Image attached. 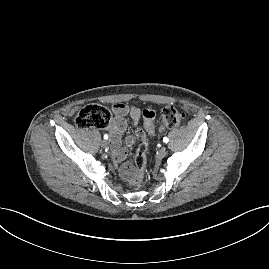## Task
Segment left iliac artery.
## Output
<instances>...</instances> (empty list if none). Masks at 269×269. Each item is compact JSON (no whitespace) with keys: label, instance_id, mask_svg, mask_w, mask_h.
<instances>
[{"label":"left iliac artery","instance_id":"obj_1","mask_svg":"<svg viewBox=\"0 0 269 269\" xmlns=\"http://www.w3.org/2000/svg\"><path fill=\"white\" fill-rule=\"evenodd\" d=\"M163 142H164V143H168V142H169V138H168V137H164V138H163Z\"/></svg>","mask_w":269,"mask_h":269}]
</instances>
